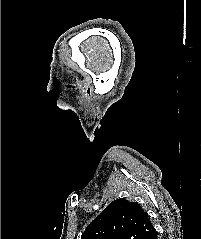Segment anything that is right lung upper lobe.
<instances>
[{
    "label": "right lung upper lobe",
    "instance_id": "obj_1",
    "mask_svg": "<svg viewBox=\"0 0 201 239\" xmlns=\"http://www.w3.org/2000/svg\"><path fill=\"white\" fill-rule=\"evenodd\" d=\"M81 239H157V232L140 204L117 199L86 227Z\"/></svg>",
    "mask_w": 201,
    "mask_h": 239
}]
</instances>
